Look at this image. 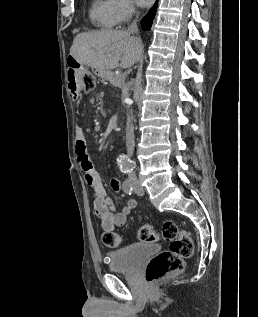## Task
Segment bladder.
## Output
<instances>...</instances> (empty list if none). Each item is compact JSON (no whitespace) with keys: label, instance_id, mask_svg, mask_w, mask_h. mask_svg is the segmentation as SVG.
<instances>
[{"label":"bladder","instance_id":"1","mask_svg":"<svg viewBox=\"0 0 258 317\" xmlns=\"http://www.w3.org/2000/svg\"><path fill=\"white\" fill-rule=\"evenodd\" d=\"M160 252V246L155 243H133L108 254L109 268L112 271H131L143 260Z\"/></svg>","mask_w":258,"mask_h":317}]
</instances>
